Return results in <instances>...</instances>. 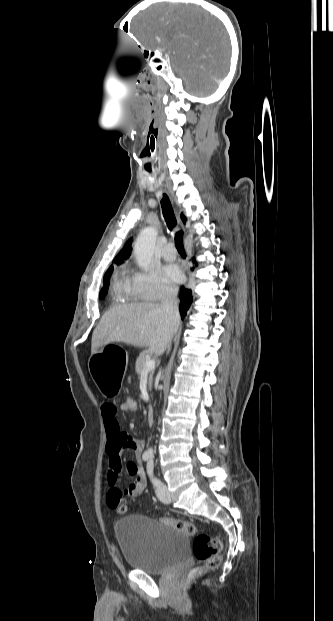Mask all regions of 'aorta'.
<instances>
[{"mask_svg":"<svg viewBox=\"0 0 333 621\" xmlns=\"http://www.w3.org/2000/svg\"><path fill=\"white\" fill-rule=\"evenodd\" d=\"M157 238V230L154 227H146L138 235L134 244V253L140 268L148 270L153 258L155 243ZM153 455L154 451L149 448L146 452Z\"/></svg>","mask_w":333,"mask_h":621,"instance_id":"obj_1","label":"aorta"}]
</instances>
